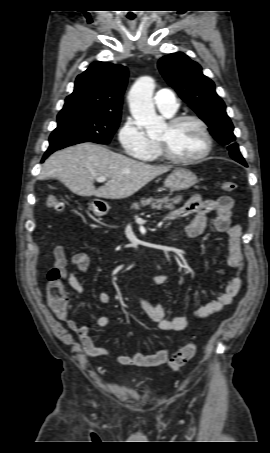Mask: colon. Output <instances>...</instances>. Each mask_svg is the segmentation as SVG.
<instances>
[{
    "instance_id": "colon-1",
    "label": "colon",
    "mask_w": 270,
    "mask_h": 453,
    "mask_svg": "<svg viewBox=\"0 0 270 453\" xmlns=\"http://www.w3.org/2000/svg\"><path fill=\"white\" fill-rule=\"evenodd\" d=\"M221 189L225 192H232L236 189V184L233 181L225 180L221 183ZM46 204L55 211L60 212L64 209L63 202L55 195H48ZM47 295L48 305L57 316H63L68 313L69 296L65 291L60 271L57 268H52L48 273ZM196 350L197 345L195 343L191 342L186 344L169 358V367L173 370H177L184 366L194 357Z\"/></svg>"
}]
</instances>
